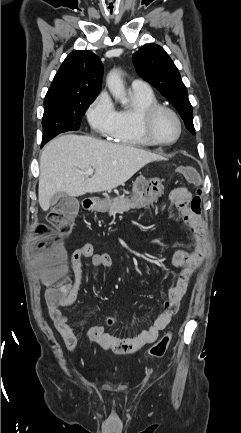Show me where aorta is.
Listing matches in <instances>:
<instances>
[{
  "instance_id": "762f6f07",
  "label": "aorta",
  "mask_w": 241,
  "mask_h": 433,
  "mask_svg": "<svg viewBox=\"0 0 241 433\" xmlns=\"http://www.w3.org/2000/svg\"><path fill=\"white\" fill-rule=\"evenodd\" d=\"M108 89L115 99L120 100L122 104H127L125 88L121 76L115 70L111 71L106 80Z\"/></svg>"
}]
</instances>
